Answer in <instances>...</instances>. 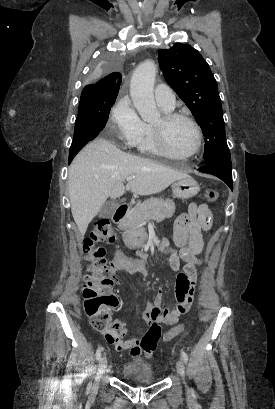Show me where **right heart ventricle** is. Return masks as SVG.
<instances>
[{
    "instance_id": "e07e8e85",
    "label": "right heart ventricle",
    "mask_w": 275,
    "mask_h": 409,
    "mask_svg": "<svg viewBox=\"0 0 275 409\" xmlns=\"http://www.w3.org/2000/svg\"><path fill=\"white\" fill-rule=\"evenodd\" d=\"M164 114H170L173 110L162 109ZM152 123L142 122L141 132L136 142L137 150L140 154L151 156H164L155 142L154 130Z\"/></svg>"
}]
</instances>
